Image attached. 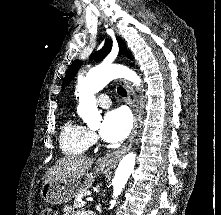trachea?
Segmentation results:
<instances>
[{
	"label": "trachea",
	"instance_id": "trachea-1",
	"mask_svg": "<svg viewBox=\"0 0 221 215\" xmlns=\"http://www.w3.org/2000/svg\"><path fill=\"white\" fill-rule=\"evenodd\" d=\"M117 92H118L119 95H121V96H123V97H126V96H127L126 90H125L124 88H122V87H118V88H117Z\"/></svg>",
	"mask_w": 221,
	"mask_h": 215
}]
</instances>
